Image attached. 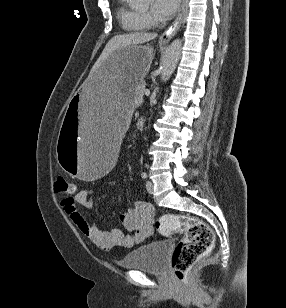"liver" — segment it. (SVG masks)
Instances as JSON below:
<instances>
[{"instance_id":"obj_1","label":"liver","mask_w":286,"mask_h":308,"mask_svg":"<svg viewBox=\"0 0 286 308\" xmlns=\"http://www.w3.org/2000/svg\"><path fill=\"white\" fill-rule=\"evenodd\" d=\"M156 37H157L156 33H139V32L114 36L106 44L104 50L102 51L96 63L94 64L89 75H91L101 65V63L105 61L116 50L122 49L130 45L143 44L155 39Z\"/></svg>"}]
</instances>
